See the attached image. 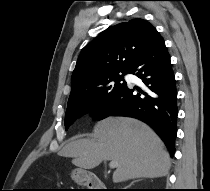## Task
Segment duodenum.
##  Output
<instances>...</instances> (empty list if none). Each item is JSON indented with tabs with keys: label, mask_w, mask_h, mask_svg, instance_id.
Instances as JSON below:
<instances>
[{
	"label": "duodenum",
	"mask_w": 210,
	"mask_h": 191,
	"mask_svg": "<svg viewBox=\"0 0 210 191\" xmlns=\"http://www.w3.org/2000/svg\"><path fill=\"white\" fill-rule=\"evenodd\" d=\"M76 174L77 180L86 184L91 191H109L102 180H100L97 176L88 173L84 169H78Z\"/></svg>",
	"instance_id": "1"
}]
</instances>
